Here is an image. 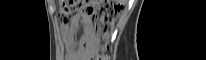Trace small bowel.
Instances as JSON below:
<instances>
[{
    "mask_svg": "<svg viewBox=\"0 0 206 60\" xmlns=\"http://www.w3.org/2000/svg\"><path fill=\"white\" fill-rule=\"evenodd\" d=\"M74 30H75L74 26H70V25L62 26V35L67 43V55H66L67 60L83 59L73 43L72 37H73Z\"/></svg>",
    "mask_w": 206,
    "mask_h": 60,
    "instance_id": "c3829d8e",
    "label": "small bowel"
}]
</instances>
